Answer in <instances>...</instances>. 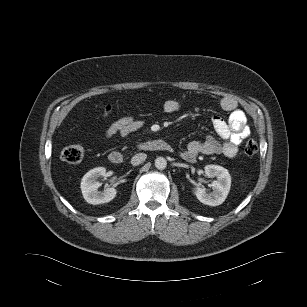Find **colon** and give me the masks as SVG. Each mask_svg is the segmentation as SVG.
<instances>
[{
	"label": "colon",
	"instance_id": "obj_1",
	"mask_svg": "<svg viewBox=\"0 0 307 307\" xmlns=\"http://www.w3.org/2000/svg\"><path fill=\"white\" fill-rule=\"evenodd\" d=\"M258 151V144L255 140L250 139L245 143L244 153L247 156H253ZM84 156V150L79 145H70L61 151V159L69 164H77L81 162Z\"/></svg>",
	"mask_w": 307,
	"mask_h": 307
}]
</instances>
